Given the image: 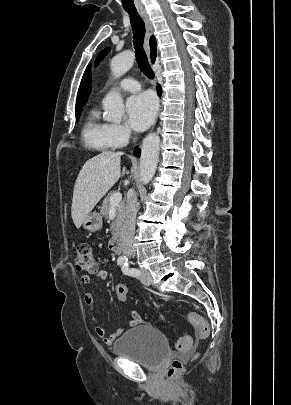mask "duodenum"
I'll use <instances>...</instances> for the list:
<instances>
[{
	"label": "duodenum",
	"instance_id": "duodenum-1",
	"mask_svg": "<svg viewBox=\"0 0 291 405\" xmlns=\"http://www.w3.org/2000/svg\"><path fill=\"white\" fill-rule=\"evenodd\" d=\"M109 248L115 253L121 251L122 248V234L117 232L109 241Z\"/></svg>",
	"mask_w": 291,
	"mask_h": 405
}]
</instances>
